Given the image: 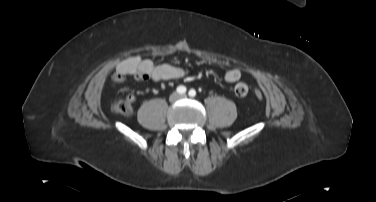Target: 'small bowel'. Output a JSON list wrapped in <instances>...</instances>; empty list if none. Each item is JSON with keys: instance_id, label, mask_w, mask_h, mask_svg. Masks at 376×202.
Listing matches in <instances>:
<instances>
[{"instance_id": "1", "label": "small bowel", "mask_w": 376, "mask_h": 202, "mask_svg": "<svg viewBox=\"0 0 376 202\" xmlns=\"http://www.w3.org/2000/svg\"><path fill=\"white\" fill-rule=\"evenodd\" d=\"M187 72L184 68L172 64H154L153 61L141 57H129L120 61L112 76L113 85L123 83L128 77L154 82L179 80L185 78ZM242 73L238 68L228 69L224 74L227 83H236L234 92L243 97L248 93V86L240 82Z\"/></svg>"}]
</instances>
